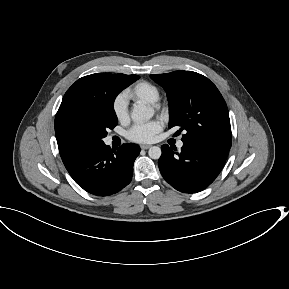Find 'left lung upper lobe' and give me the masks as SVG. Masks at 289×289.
<instances>
[{"mask_svg":"<svg viewBox=\"0 0 289 289\" xmlns=\"http://www.w3.org/2000/svg\"><path fill=\"white\" fill-rule=\"evenodd\" d=\"M150 77L167 92L169 128L186 131L182 141L231 148L228 108L217 87L192 71L153 74Z\"/></svg>","mask_w":289,"mask_h":289,"instance_id":"1","label":"left lung upper lobe"}]
</instances>
